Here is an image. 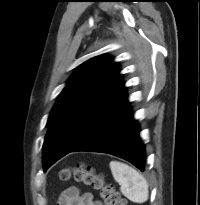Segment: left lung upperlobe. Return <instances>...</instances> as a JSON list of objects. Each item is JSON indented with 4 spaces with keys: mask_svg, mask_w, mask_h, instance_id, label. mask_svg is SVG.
<instances>
[{
    "mask_svg": "<svg viewBox=\"0 0 200 205\" xmlns=\"http://www.w3.org/2000/svg\"><path fill=\"white\" fill-rule=\"evenodd\" d=\"M119 71L113 58L101 55L84 62L70 77L47 122L44 171L68 154L115 100L124 87Z\"/></svg>",
    "mask_w": 200,
    "mask_h": 205,
    "instance_id": "left-lung-upper-lobe-1",
    "label": "left lung upper lobe"
}]
</instances>
